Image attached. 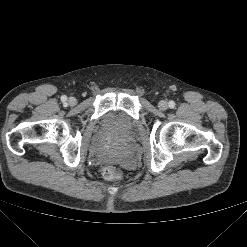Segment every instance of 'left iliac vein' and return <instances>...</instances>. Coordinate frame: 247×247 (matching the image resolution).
Returning a JSON list of instances; mask_svg holds the SVG:
<instances>
[{"mask_svg": "<svg viewBox=\"0 0 247 247\" xmlns=\"http://www.w3.org/2000/svg\"><path fill=\"white\" fill-rule=\"evenodd\" d=\"M158 108L162 111H165L168 108V103L165 100H161L158 103Z\"/></svg>", "mask_w": 247, "mask_h": 247, "instance_id": "obj_1", "label": "left iliac vein"}]
</instances>
